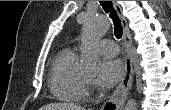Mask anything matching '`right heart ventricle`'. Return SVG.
Returning a JSON list of instances; mask_svg holds the SVG:
<instances>
[{
  "mask_svg": "<svg viewBox=\"0 0 171 110\" xmlns=\"http://www.w3.org/2000/svg\"><path fill=\"white\" fill-rule=\"evenodd\" d=\"M77 55L74 49L66 48L55 57L50 70V89L52 94L64 102H82L87 90L81 75L75 70Z\"/></svg>",
  "mask_w": 171,
  "mask_h": 110,
  "instance_id": "right-heart-ventricle-1",
  "label": "right heart ventricle"
}]
</instances>
